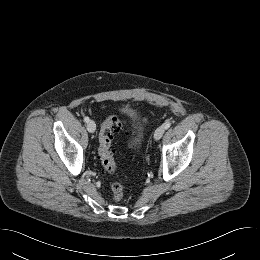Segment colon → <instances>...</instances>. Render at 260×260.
<instances>
[{
	"label": "colon",
	"instance_id": "5ec220e1",
	"mask_svg": "<svg viewBox=\"0 0 260 260\" xmlns=\"http://www.w3.org/2000/svg\"><path fill=\"white\" fill-rule=\"evenodd\" d=\"M126 128L125 121L117 116H109L103 122L99 132L98 158L104 171L108 174H114L117 170V164L114 159L113 137L115 134ZM113 198L120 201L123 198L124 185L121 182H114L111 186Z\"/></svg>",
	"mask_w": 260,
	"mask_h": 260
}]
</instances>
